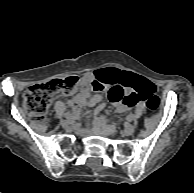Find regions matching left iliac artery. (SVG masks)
Segmentation results:
<instances>
[{"label":"left iliac artery","instance_id":"44dca946","mask_svg":"<svg viewBox=\"0 0 194 193\" xmlns=\"http://www.w3.org/2000/svg\"><path fill=\"white\" fill-rule=\"evenodd\" d=\"M127 120H128V121H132V120H133V115H132V114L128 115V116H127Z\"/></svg>","mask_w":194,"mask_h":193}]
</instances>
